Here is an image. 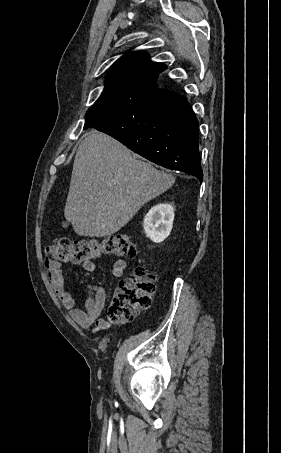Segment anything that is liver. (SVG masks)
<instances>
[{"label":"liver","instance_id":"obj_1","mask_svg":"<svg viewBox=\"0 0 281 453\" xmlns=\"http://www.w3.org/2000/svg\"><path fill=\"white\" fill-rule=\"evenodd\" d=\"M174 182L112 136L90 130L75 154L65 218L80 237L114 235Z\"/></svg>","mask_w":281,"mask_h":453}]
</instances>
